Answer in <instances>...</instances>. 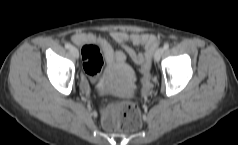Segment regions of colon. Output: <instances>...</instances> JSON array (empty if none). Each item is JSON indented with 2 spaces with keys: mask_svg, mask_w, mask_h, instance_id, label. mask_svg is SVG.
<instances>
[{
  "mask_svg": "<svg viewBox=\"0 0 238 145\" xmlns=\"http://www.w3.org/2000/svg\"><path fill=\"white\" fill-rule=\"evenodd\" d=\"M83 68L91 77L99 74L103 59L100 47L88 43L82 49ZM103 123L109 130L135 131L141 125V114L138 106L129 101H113L104 111Z\"/></svg>",
  "mask_w": 238,
  "mask_h": 145,
  "instance_id": "obj_1",
  "label": "colon"
}]
</instances>
